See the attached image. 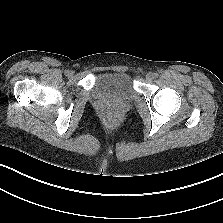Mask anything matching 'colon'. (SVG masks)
Listing matches in <instances>:
<instances>
[{
    "instance_id": "5ec220e1",
    "label": "colon",
    "mask_w": 223,
    "mask_h": 223,
    "mask_svg": "<svg viewBox=\"0 0 223 223\" xmlns=\"http://www.w3.org/2000/svg\"><path fill=\"white\" fill-rule=\"evenodd\" d=\"M104 121H105L107 126L111 127L115 123V118L111 113H106Z\"/></svg>"
}]
</instances>
